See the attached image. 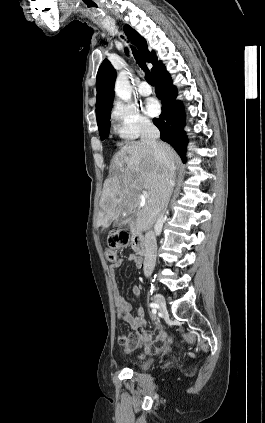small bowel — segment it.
<instances>
[{
    "instance_id": "obj_1",
    "label": "small bowel",
    "mask_w": 265,
    "mask_h": 423,
    "mask_svg": "<svg viewBox=\"0 0 265 423\" xmlns=\"http://www.w3.org/2000/svg\"><path fill=\"white\" fill-rule=\"evenodd\" d=\"M128 261L133 262L137 268L142 266V260L136 255H131ZM124 262V259H117L109 265V273L112 278H114L116 270L120 268ZM132 293L139 299V286H133ZM112 294L117 309L118 320L128 323L132 329V332L128 336H121L118 339L119 344L123 346L127 352L136 350L140 342H144L148 345L147 352L150 354L165 352L170 348L171 339L163 330L158 329L153 333H148L145 330L147 320L140 302L133 306L121 295L115 283L113 284ZM133 312L135 313L133 314Z\"/></svg>"
}]
</instances>
